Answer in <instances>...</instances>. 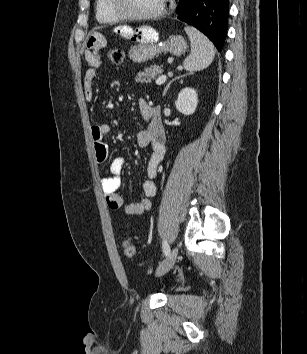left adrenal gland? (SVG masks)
<instances>
[{
    "label": "left adrenal gland",
    "mask_w": 307,
    "mask_h": 354,
    "mask_svg": "<svg viewBox=\"0 0 307 354\" xmlns=\"http://www.w3.org/2000/svg\"><path fill=\"white\" fill-rule=\"evenodd\" d=\"M187 75H189V74L182 75V76H180V77H177V78H175V79H172V80L167 84V86L164 88L163 96L166 95V93H167V91H168L170 85H171L175 80L180 79V78H183V77H185V76H187Z\"/></svg>",
    "instance_id": "1"
}]
</instances>
